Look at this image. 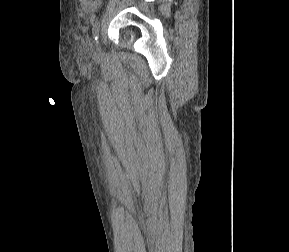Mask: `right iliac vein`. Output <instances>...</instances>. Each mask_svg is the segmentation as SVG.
Masks as SVG:
<instances>
[{
    "mask_svg": "<svg viewBox=\"0 0 289 252\" xmlns=\"http://www.w3.org/2000/svg\"><path fill=\"white\" fill-rule=\"evenodd\" d=\"M97 51H98V52L100 51V48H99V47H97Z\"/></svg>",
    "mask_w": 289,
    "mask_h": 252,
    "instance_id": "right-iliac-vein-1",
    "label": "right iliac vein"
}]
</instances>
